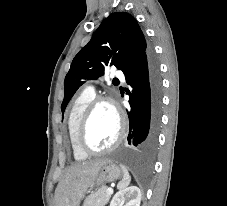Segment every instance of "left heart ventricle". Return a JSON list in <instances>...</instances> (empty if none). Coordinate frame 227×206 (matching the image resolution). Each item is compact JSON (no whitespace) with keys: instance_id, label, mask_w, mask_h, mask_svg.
Masks as SVG:
<instances>
[{"instance_id":"b2bd125f","label":"left heart ventricle","mask_w":227,"mask_h":206,"mask_svg":"<svg viewBox=\"0 0 227 206\" xmlns=\"http://www.w3.org/2000/svg\"><path fill=\"white\" fill-rule=\"evenodd\" d=\"M119 123L114 109L100 104L93 112L86 134L88 145L101 150L110 146L118 135Z\"/></svg>"}]
</instances>
